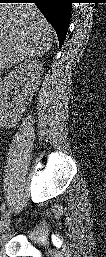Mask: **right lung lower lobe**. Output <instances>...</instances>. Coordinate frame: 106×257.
Here are the masks:
<instances>
[{
  "instance_id": "98d812e1",
  "label": "right lung lower lobe",
  "mask_w": 106,
  "mask_h": 257,
  "mask_svg": "<svg viewBox=\"0 0 106 257\" xmlns=\"http://www.w3.org/2000/svg\"><path fill=\"white\" fill-rule=\"evenodd\" d=\"M1 3H35L47 21L55 29L59 47L65 40L74 0H0Z\"/></svg>"
}]
</instances>
